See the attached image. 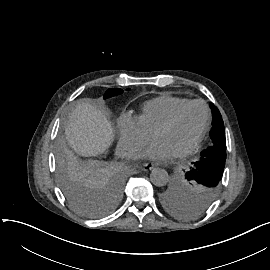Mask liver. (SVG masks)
Returning a JSON list of instances; mask_svg holds the SVG:
<instances>
[{
	"label": "liver",
	"instance_id": "1",
	"mask_svg": "<svg viewBox=\"0 0 270 270\" xmlns=\"http://www.w3.org/2000/svg\"><path fill=\"white\" fill-rule=\"evenodd\" d=\"M68 145L83 157L105 153L114 141V129L106 115L89 102H80L65 124Z\"/></svg>",
	"mask_w": 270,
	"mask_h": 270
}]
</instances>
